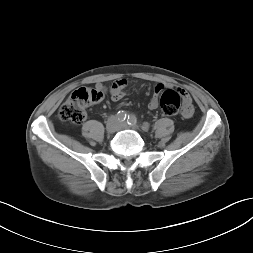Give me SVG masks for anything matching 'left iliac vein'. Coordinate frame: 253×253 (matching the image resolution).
Here are the masks:
<instances>
[{
  "label": "left iliac vein",
  "mask_w": 253,
  "mask_h": 253,
  "mask_svg": "<svg viewBox=\"0 0 253 253\" xmlns=\"http://www.w3.org/2000/svg\"><path fill=\"white\" fill-rule=\"evenodd\" d=\"M120 128L121 129H127L128 125L125 122L120 123Z\"/></svg>",
  "instance_id": "1"
}]
</instances>
